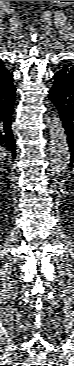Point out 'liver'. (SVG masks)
<instances>
[{"label":"liver","instance_id":"1","mask_svg":"<svg viewBox=\"0 0 74 366\" xmlns=\"http://www.w3.org/2000/svg\"><path fill=\"white\" fill-rule=\"evenodd\" d=\"M5 156H6V151L3 148H1L0 149V157H1V160H3L5 158Z\"/></svg>","mask_w":74,"mask_h":366}]
</instances>
